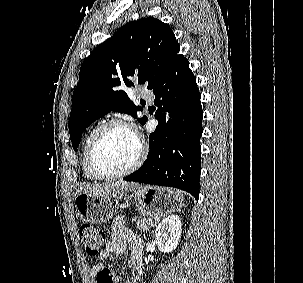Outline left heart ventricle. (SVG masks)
Instances as JSON below:
<instances>
[{
    "label": "left heart ventricle",
    "mask_w": 303,
    "mask_h": 283,
    "mask_svg": "<svg viewBox=\"0 0 303 283\" xmlns=\"http://www.w3.org/2000/svg\"><path fill=\"white\" fill-rule=\"evenodd\" d=\"M139 144L134 133L124 127H110L101 138L96 159L107 172H119L129 167L137 157Z\"/></svg>",
    "instance_id": "1"
}]
</instances>
